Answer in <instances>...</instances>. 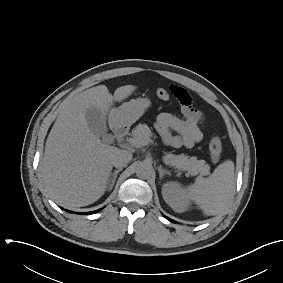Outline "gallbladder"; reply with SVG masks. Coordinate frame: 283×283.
I'll list each match as a JSON object with an SVG mask.
<instances>
[{
  "label": "gallbladder",
  "mask_w": 283,
  "mask_h": 283,
  "mask_svg": "<svg viewBox=\"0 0 283 283\" xmlns=\"http://www.w3.org/2000/svg\"><path fill=\"white\" fill-rule=\"evenodd\" d=\"M85 118L89 129L97 136H107L106 119L101 110L97 107H90L86 110Z\"/></svg>",
  "instance_id": "gallbladder-1"
}]
</instances>
